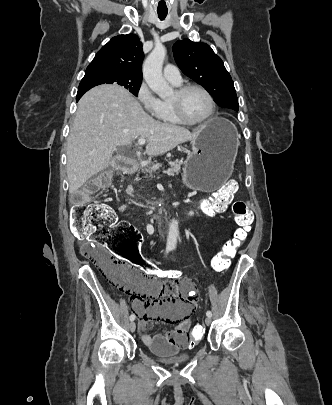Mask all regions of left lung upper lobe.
Instances as JSON below:
<instances>
[{
	"label": "left lung upper lobe",
	"instance_id": "obj_1",
	"mask_svg": "<svg viewBox=\"0 0 332 405\" xmlns=\"http://www.w3.org/2000/svg\"><path fill=\"white\" fill-rule=\"evenodd\" d=\"M175 61L184 74L202 85L223 108L238 111V98L230 74L212 48L189 39L173 45Z\"/></svg>",
	"mask_w": 332,
	"mask_h": 405
}]
</instances>
